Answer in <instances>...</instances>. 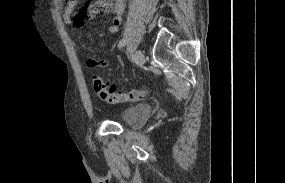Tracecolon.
<instances>
[{
    "instance_id": "obj_1",
    "label": "colon",
    "mask_w": 285,
    "mask_h": 183,
    "mask_svg": "<svg viewBox=\"0 0 285 183\" xmlns=\"http://www.w3.org/2000/svg\"><path fill=\"white\" fill-rule=\"evenodd\" d=\"M94 92L101 100L108 104H119L126 102H136L145 99L149 95L146 88L133 89L130 91H118L112 88L101 76L92 77Z\"/></svg>"
}]
</instances>
